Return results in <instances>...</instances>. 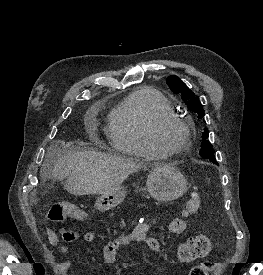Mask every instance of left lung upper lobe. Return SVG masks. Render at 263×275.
<instances>
[{"mask_svg": "<svg viewBox=\"0 0 263 275\" xmlns=\"http://www.w3.org/2000/svg\"><path fill=\"white\" fill-rule=\"evenodd\" d=\"M171 91L174 93H180L188 109L198 115L199 119H203L204 110L198 97L185 85L183 81L177 76H169L166 80ZM204 120V119H203ZM205 121V120H204ZM203 142L201 143L200 156L204 159H209L212 163L218 164L214 156V150L208 139V132L202 134Z\"/></svg>", "mask_w": 263, "mask_h": 275, "instance_id": "left-lung-upper-lobe-1", "label": "left lung upper lobe"}]
</instances>
